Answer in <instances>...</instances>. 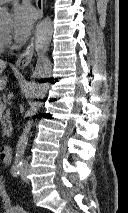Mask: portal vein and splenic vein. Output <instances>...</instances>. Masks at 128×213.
Instances as JSON below:
<instances>
[{"mask_svg": "<svg viewBox=\"0 0 128 213\" xmlns=\"http://www.w3.org/2000/svg\"><path fill=\"white\" fill-rule=\"evenodd\" d=\"M6 108V105L4 103L0 104V112L4 111Z\"/></svg>", "mask_w": 128, "mask_h": 213, "instance_id": "obj_1", "label": "portal vein and splenic vein"}]
</instances>
